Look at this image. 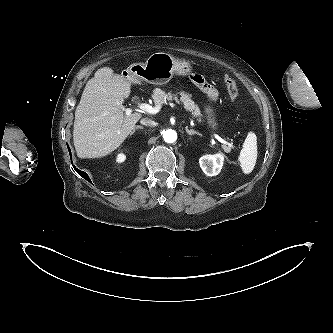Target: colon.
I'll list each match as a JSON object with an SVG mask.
<instances>
[{"instance_id":"obj_1","label":"colon","mask_w":333,"mask_h":333,"mask_svg":"<svg viewBox=\"0 0 333 333\" xmlns=\"http://www.w3.org/2000/svg\"><path fill=\"white\" fill-rule=\"evenodd\" d=\"M224 83H225L227 92L229 94V97L232 100H236L238 98V95H239L236 82L231 77L226 76L224 78Z\"/></svg>"}]
</instances>
